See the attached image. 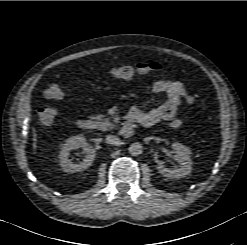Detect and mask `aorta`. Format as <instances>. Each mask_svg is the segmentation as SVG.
I'll return each instance as SVG.
<instances>
[{
  "instance_id": "1",
  "label": "aorta",
  "mask_w": 247,
  "mask_h": 245,
  "mask_svg": "<svg viewBox=\"0 0 247 245\" xmlns=\"http://www.w3.org/2000/svg\"><path fill=\"white\" fill-rule=\"evenodd\" d=\"M128 150L132 156H139L143 152V146L140 142H133L130 144Z\"/></svg>"
}]
</instances>
